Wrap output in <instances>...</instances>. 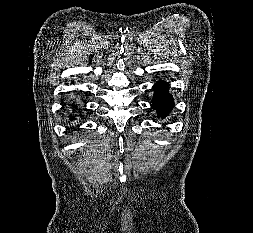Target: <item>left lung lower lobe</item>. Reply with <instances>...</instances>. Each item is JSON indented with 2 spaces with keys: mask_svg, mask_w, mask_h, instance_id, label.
<instances>
[{
  "mask_svg": "<svg viewBox=\"0 0 253 233\" xmlns=\"http://www.w3.org/2000/svg\"><path fill=\"white\" fill-rule=\"evenodd\" d=\"M153 88L155 95L153 97L152 107L158 110L159 116H165L174 105L172 96L167 92L168 84L159 81Z\"/></svg>",
  "mask_w": 253,
  "mask_h": 233,
  "instance_id": "left-lung-lower-lobe-1",
  "label": "left lung lower lobe"
}]
</instances>
